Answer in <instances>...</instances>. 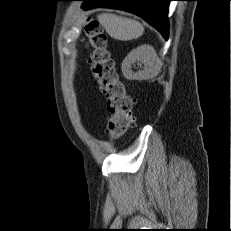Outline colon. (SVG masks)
I'll return each mask as SVG.
<instances>
[{
	"label": "colon",
	"mask_w": 231,
	"mask_h": 231,
	"mask_svg": "<svg viewBox=\"0 0 231 231\" xmlns=\"http://www.w3.org/2000/svg\"><path fill=\"white\" fill-rule=\"evenodd\" d=\"M85 33L88 38L91 55L89 63L100 90L107 99L110 113L107 133L111 140L126 134L131 126L133 116V99L115 69V63L107 49V38L96 20L87 23Z\"/></svg>",
	"instance_id": "1"
}]
</instances>
